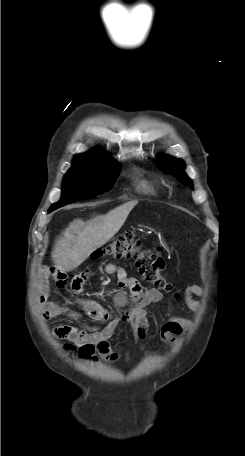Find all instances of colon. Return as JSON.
Listing matches in <instances>:
<instances>
[{
	"instance_id": "5ec220e1",
	"label": "colon",
	"mask_w": 245,
	"mask_h": 456,
	"mask_svg": "<svg viewBox=\"0 0 245 456\" xmlns=\"http://www.w3.org/2000/svg\"><path fill=\"white\" fill-rule=\"evenodd\" d=\"M104 254L117 259L134 258L139 274L153 289L165 292L172 290V285L162 274L163 261L150 249L144 247L142 241L134 233L127 232L117 237L105 249L95 251L92 258L97 259Z\"/></svg>"
}]
</instances>
